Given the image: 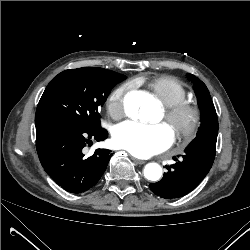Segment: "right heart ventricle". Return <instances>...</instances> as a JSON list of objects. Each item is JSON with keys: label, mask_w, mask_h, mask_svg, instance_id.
Masks as SVG:
<instances>
[{"label": "right heart ventricle", "mask_w": 250, "mask_h": 250, "mask_svg": "<svg viewBox=\"0 0 250 250\" xmlns=\"http://www.w3.org/2000/svg\"><path fill=\"white\" fill-rule=\"evenodd\" d=\"M137 84L146 83L153 97L159 100L164 106H170L185 99L187 89L177 78L167 75L151 79H138Z\"/></svg>", "instance_id": "1"}]
</instances>
